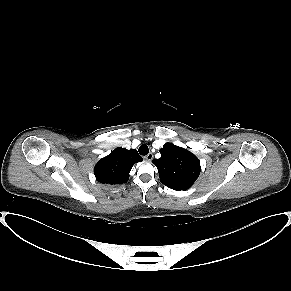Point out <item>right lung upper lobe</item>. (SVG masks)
<instances>
[{
  "label": "right lung upper lobe",
  "instance_id": "cb5924a9",
  "mask_svg": "<svg viewBox=\"0 0 291 291\" xmlns=\"http://www.w3.org/2000/svg\"><path fill=\"white\" fill-rule=\"evenodd\" d=\"M143 159L137 150L118 147L94 167L96 180L103 184H122L129 179L133 165Z\"/></svg>",
  "mask_w": 291,
  "mask_h": 291
}]
</instances>
